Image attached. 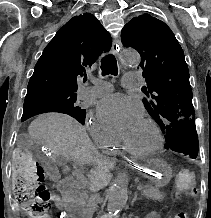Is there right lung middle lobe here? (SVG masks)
<instances>
[{
  "label": "right lung middle lobe",
  "instance_id": "dd1d6c3e",
  "mask_svg": "<svg viewBox=\"0 0 211 218\" xmlns=\"http://www.w3.org/2000/svg\"><path fill=\"white\" fill-rule=\"evenodd\" d=\"M75 92L51 95L24 103L21 121L37 114L46 112H61L68 114L84 124L86 110L80 106Z\"/></svg>",
  "mask_w": 211,
  "mask_h": 218
}]
</instances>
